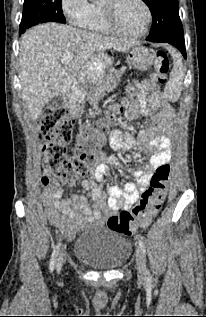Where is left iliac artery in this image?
I'll return each instance as SVG.
<instances>
[{
	"mask_svg": "<svg viewBox=\"0 0 206 317\" xmlns=\"http://www.w3.org/2000/svg\"><path fill=\"white\" fill-rule=\"evenodd\" d=\"M139 246L143 252V254L145 255L146 253V246H145V242L143 241L142 238L139 239ZM146 275H147V279H151V276H150V273L149 271L146 272Z\"/></svg>",
	"mask_w": 206,
	"mask_h": 317,
	"instance_id": "1",
	"label": "left iliac artery"
}]
</instances>
